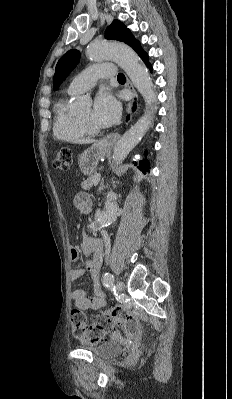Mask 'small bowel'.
I'll return each instance as SVG.
<instances>
[{"instance_id": "small-bowel-1", "label": "small bowel", "mask_w": 232, "mask_h": 399, "mask_svg": "<svg viewBox=\"0 0 232 399\" xmlns=\"http://www.w3.org/2000/svg\"><path fill=\"white\" fill-rule=\"evenodd\" d=\"M72 205L78 210H87L91 206V197L88 193L78 192L74 195ZM104 245V238L101 236L88 235L81 244V248H69L70 261H77L80 258V252L89 256L86 266H80L70 273L69 282L72 285L79 283L82 276L87 270L91 276V287L94 292L93 298H88L83 290L74 289L70 293L74 305L79 309H99L105 304V292L99 283V271L102 265V248Z\"/></svg>"}]
</instances>
